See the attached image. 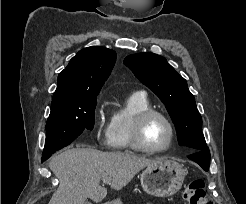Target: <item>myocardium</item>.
Listing matches in <instances>:
<instances>
[{"label":"myocardium","instance_id":"obj_1","mask_svg":"<svg viewBox=\"0 0 246 204\" xmlns=\"http://www.w3.org/2000/svg\"><path fill=\"white\" fill-rule=\"evenodd\" d=\"M152 117H160L161 119H163L170 131V137L167 144L161 148H150L143 141V131L145 125ZM175 135H176V130L171 119L163 112L150 108L139 113L135 117L131 130V144L134 149L144 153H148V154L162 153L167 151L172 146L175 139Z\"/></svg>","mask_w":246,"mask_h":204}]
</instances>
